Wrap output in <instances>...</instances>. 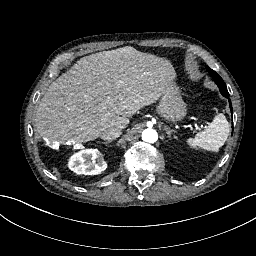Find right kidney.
I'll return each instance as SVG.
<instances>
[{"label":"right kidney","mask_w":256,"mask_h":256,"mask_svg":"<svg viewBox=\"0 0 256 256\" xmlns=\"http://www.w3.org/2000/svg\"><path fill=\"white\" fill-rule=\"evenodd\" d=\"M69 167L77 174L95 175L105 171L107 165L99 150L86 149L71 157Z\"/></svg>","instance_id":"right-kidney-1"}]
</instances>
